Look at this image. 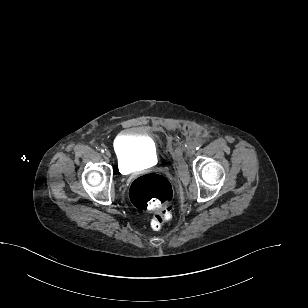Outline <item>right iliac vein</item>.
I'll use <instances>...</instances> for the list:
<instances>
[{"label": "right iliac vein", "mask_w": 308, "mask_h": 308, "mask_svg": "<svg viewBox=\"0 0 308 308\" xmlns=\"http://www.w3.org/2000/svg\"><path fill=\"white\" fill-rule=\"evenodd\" d=\"M105 155H106L107 157H111V153H110L108 150L105 151Z\"/></svg>", "instance_id": "63e3f726"}]
</instances>
